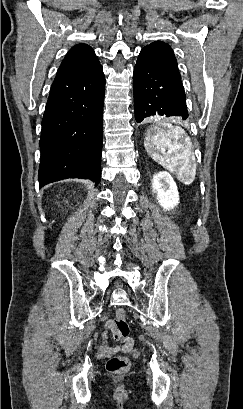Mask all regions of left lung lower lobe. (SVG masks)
<instances>
[{
  "label": "left lung lower lobe",
  "instance_id": "obj_1",
  "mask_svg": "<svg viewBox=\"0 0 243 409\" xmlns=\"http://www.w3.org/2000/svg\"><path fill=\"white\" fill-rule=\"evenodd\" d=\"M133 76L134 110L138 123L154 115L188 118L181 76L140 63H136Z\"/></svg>",
  "mask_w": 243,
  "mask_h": 409
}]
</instances>
